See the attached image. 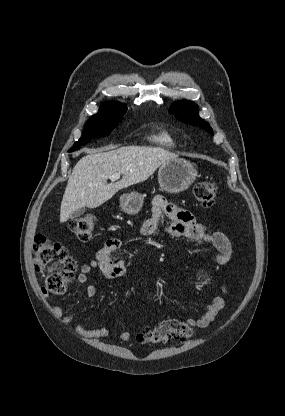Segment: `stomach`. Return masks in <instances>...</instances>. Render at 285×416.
<instances>
[{"instance_id": "obj_1", "label": "stomach", "mask_w": 285, "mask_h": 416, "mask_svg": "<svg viewBox=\"0 0 285 416\" xmlns=\"http://www.w3.org/2000/svg\"><path fill=\"white\" fill-rule=\"evenodd\" d=\"M197 178V170L193 164L183 158L169 160L160 166L158 182L164 192H184ZM141 194H122L120 196V208L125 214H138L143 206Z\"/></svg>"}]
</instances>
